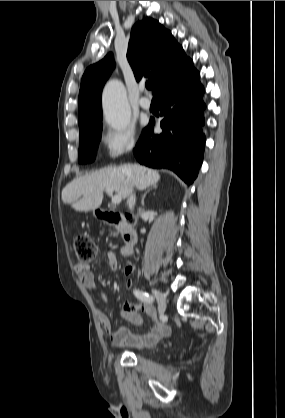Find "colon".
<instances>
[{
	"label": "colon",
	"instance_id": "colon-1",
	"mask_svg": "<svg viewBox=\"0 0 285 418\" xmlns=\"http://www.w3.org/2000/svg\"><path fill=\"white\" fill-rule=\"evenodd\" d=\"M136 223V219L131 215L123 217V225L130 226ZM76 256L81 262L90 261L97 252V246L92 237L88 234H80L74 239Z\"/></svg>",
	"mask_w": 285,
	"mask_h": 418
}]
</instances>
